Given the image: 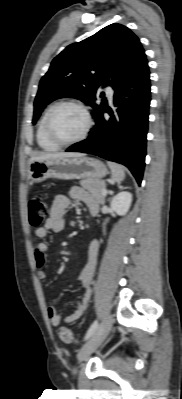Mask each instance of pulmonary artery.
<instances>
[{"label":"pulmonary artery","mask_w":182,"mask_h":399,"mask_svg":"<svg viewBox=\"0 0 182 399\" xmlns=\"http://www.w3.org/2000/svg\"><path fill=\"white\" fill-rule=\"evenodd\" d=\"M114 93H115V91L111 86L107 87V95L110 100L113 99Z\"/></svg>","instance_id":"pulmonary-artery-1"}]
</instances>
